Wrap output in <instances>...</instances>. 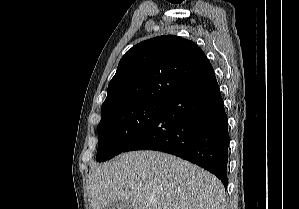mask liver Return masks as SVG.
Wrapping results in <instances>:
<instances>
[{
	"label": "liver",
	"mask_w": 299,
	"mask_h": 209,
	"mask_svg": "<svg viewBox=\"0 0 299 209\" xmlns=\"http://www.w3.org/2000/svg\"><path fill=\"white\" fill-rule=\"evenodd\" d=\"M88 184L91 209L117 199L134 209H224L225 191L218 178L163 152L133 151L94 165Z\"/></svg>",
	"instance_id": "1"
}]
</instances>
